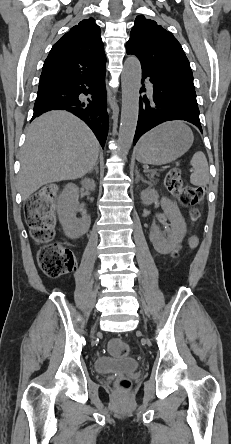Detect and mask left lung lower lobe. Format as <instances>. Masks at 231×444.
I'll return each instance as SVG.
<instances>
[{
    "mask_svg": "<svg viewBox=\"0 0 231 444\" xmlns=\"http://www.w3.org/2000/svg\"><path fill=\"white\" fill-rule=\"evenodd\" d=\"M146 78L151 82L152 92L149 97L145 95L139 99L134 145L145 132L169 120H186L202 131L195 89L175 83L172 77L151 70H143L142 84ZM144 87L140 92L146 91Z\"/></svg>",
    "mask_w": 231,
    "mask_h": 444,
    "instance_id": "0a47b994",
    "label": "left lung lower lobe"
}]
</instances>
